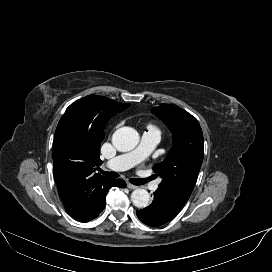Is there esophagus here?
<instances>
[{
	"label": "esophagus",
	"mask_w": 272,
	"mask_h": 272,
	"mask_svg": "<svg viewBox=\"0 0 272 272\" xmlns=\"http://www.w3.org/2000/svg\"><path fill=\"white\" fill-rule=\"evenodd\" d=\"M127 187L130 188V189H136V188H138L136 185H133L130 182H127Z\"/></svg>",
	"instance_id": "34e87169"
}]
</instances>
